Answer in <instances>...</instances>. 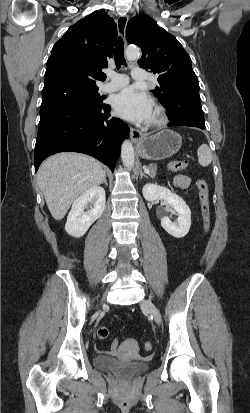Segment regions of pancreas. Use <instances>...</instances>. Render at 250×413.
I'll return each mask as SVG.
<instances>
[{"instance_id": "obj_1", "label": "pancreas", "mask_w": 250, "mask_h": 413, "mask_svg": "<svg viewBox=\"0 0 250 413\" xmlns=\"http://www.w3.org/2000/svg\"><path fill=\"white\" fill-rule=\"evenodd\" d=\"M171 170H174V168H170ZM148 170H149V176L154 178L156 175V171H157V166L156 164H150L148 166Z\"/></svg>"}]
</instances>
